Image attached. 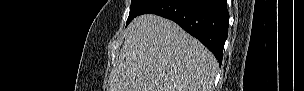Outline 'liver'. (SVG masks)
<instances>
[{
  "mask_svg": "<svg viewBox=\"0 0 304 91\" xmlns=\"http://www.w3.org/2000/svg\"><path fill=\"white\" fill-rule=\"evenodd\" d=\"M217 68L201 42L173 21L146 14L126 29L109 91H211Z\"/></svg>",
  "mask_w": 304,
  "mask_h": 91,
  "instance_id": "1",
  "label": "liver"
}]
</instances>
